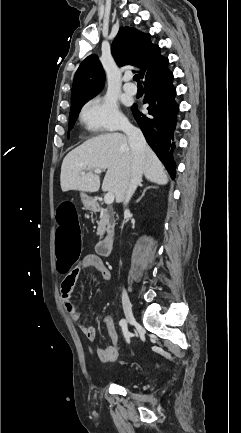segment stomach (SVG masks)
Masks as SVG:
<instances>
[{
  "instance_id": "0dacf381",
  "label": "stomach",
  "mask_w": 241,
  "mask_h": 433,
  "mask_svg": "<svg viewBox=\"0 0 241 433\" xmlns=\"http://www.w3.org/2000/svg\"><path fill=\"white\" fill-rule=\"evenodd\" d=\"M80 197H81V201H82L84 207L88 210H91L93 207L92 199L84 193H81Z\"/></svg>"
}]
</instances>
